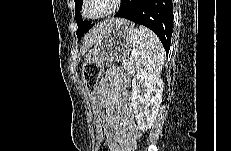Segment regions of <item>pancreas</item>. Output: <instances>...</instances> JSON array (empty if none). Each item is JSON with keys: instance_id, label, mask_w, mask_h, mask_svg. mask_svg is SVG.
Wrapping results in <instances>:
<instances>
[{"instance_id": "1", "label": "pancreas", "mask_w": 231, "mask_h": 151, "mask_svg": "<svg viewBox=\"0 0 231 151\" xmlns=\"http://www.w3.org/2000/svg\"><path fill=\"white\" fill-rule=\"evenodd\" d=\"M122 70L126 71L128 75L133 76L135 71L138 68L137 63L133 60V61H124L122 63Z\"/></svg>"}]
</instances>
